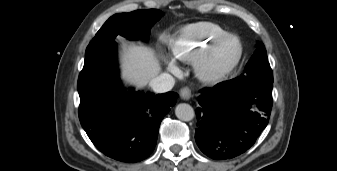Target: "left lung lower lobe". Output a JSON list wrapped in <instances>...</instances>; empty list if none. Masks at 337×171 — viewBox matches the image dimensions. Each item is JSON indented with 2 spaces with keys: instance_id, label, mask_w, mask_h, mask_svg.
<instances>
[{
  "instance_id": "0a47b994",
  "label": "left lung lower lobe",
  "mask_w": 337,
  "mask_h": 171,
  "mask_svg": "<svg viewBox=\"0 0 337 171\" xmlns=\"http://www.w3.org/2000/svg\"><path fill=\"white\" fill-rule=\"evenodd\" d=\"M273 78L239 76L200 90L195 140L216 160L248 150L266 128L272 110Z\"/></svg>"
}]
</instances>
